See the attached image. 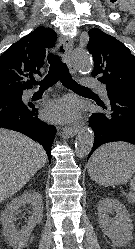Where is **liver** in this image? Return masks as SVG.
<instances>
[{
	"label": "liver",
	"instance_id": "1",
	"mask_svg": "<svg viewBox=\"0 0 135 249\" xmlns=\"http://www.w3.org/2000/svg\"><path fill=\"white\" fill-rule=\"evenodd\" d=\"M47 159L39 143L0 128V203L17 193Z\"/></svg>",
	"mask_w": 135,
	"mask_h": 249
}]
</instances>
